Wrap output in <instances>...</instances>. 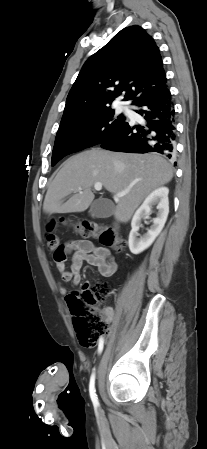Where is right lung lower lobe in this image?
Instances as JSON below:
<instances>
[{
    "mask_svg": "<svg viewBox=\"0 0 207 449\" xmlns=\"http://www.w3.org/2000/svg\"><path fill=\"white\" fill-rule=\"evenodd\" d=\"M145 119L144 125H123L101 147L119 152L149 153L157 152L171 158L175 153L176 124L170 91L134 104Z\"/></svg>",
    "mask_w": 207,
    "mask_h": 449,
    "instance_id": "obj_1",
    "label": "right lung lower lobe"
}]
</instances>
